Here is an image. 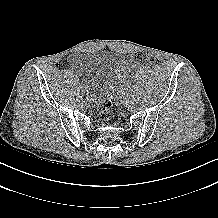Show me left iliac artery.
Returning <instances> with one entry per match:
<instances>
[{"mask_svg": "<svg viewBox=\"0 0 218 218\" xmlns=\"http://www.w3.org/2000/svg\"><path fill=\"white\" fill-rule=\"evenodd\" d=\"M133 97V92L127 93V98H132Z\"/></svg>", "mask_w": 218, "mask_h": 218, "instance_id": "obj_1", "label": "left iliac artery"}]
</instances>
